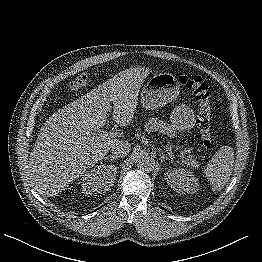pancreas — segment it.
Wrapping results in <instances>:
<instances>
[{
    "label": "pancreas",
    "instance_id": "obj_1",
    "mask_svg": "<svg viewBox=\"0 0 262 262\" xmlns=\"http://www.w3.org/2000/svg\"><path fill=\"white\" fill-rule=\"evenodd\" d=\"M145 130L147 132H153V131H158L161 133H166V134H173L176 132L175 128L171 125H169L168 123L159 120L158 118H149L146 122H145ZM189 159H192V157H190ZM193 160V159H192ZM190 161V160H189ZM194 161V160H193ZM186 164H188L186 162ZM191 166H196L197 163L195 161V164H188Z\"/></svg>",
    "mask_w": 262,
    "mask_h": 262
}]
</instances>
